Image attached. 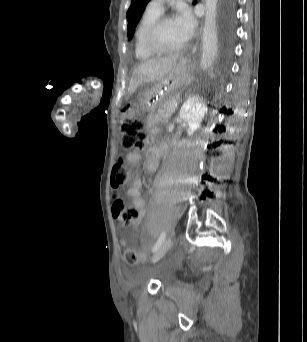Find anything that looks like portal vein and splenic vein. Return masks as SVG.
I'll use <instances>...</instances> for the list:
<instances>
[{"label":"portal vein and splenic vein","mask_w":307,"mask_h":342,"mask_svg":"<svg viewBox=\"0 0 307 342\" xmlns=\"http://www.w3.org/2000/svg\"><path fill=\"white\" fill-rule=\"evenodd\" d=\"M172 107L175 109L177 106L174 104Z\"/></svg>","instance_id":"obj_1"}]
</instances>
